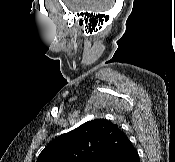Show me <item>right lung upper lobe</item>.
I'll return each instance as SVG.
<instances>
[{
	"label": "right lung upper lobe",
	"instance_id": "cb5924a9",
	"mask_svg": "<svg viewBox=\"0 0 175 162\" xmlns=\"http://www.w3.org/2000/svg\"><path fill=\"white\" fill-rule=\"evenodd\" d=\"M132 148L116 124L95 119L51 141L37 162H112Z\"/></svg>",
	"mask_w": 175,
	"mask_h": 162
}]
</instances>
